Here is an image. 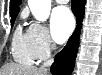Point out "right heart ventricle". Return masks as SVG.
I'll return each mask as SVG.
<instances>
[{
    "mask_svg": "<svg viewBox=\"0 0 102 75\" xmlns=\"http://www.w3.org/2000/svg\"><path fill=\"white\" fill-rule=\"evenodd\" d=\"M12 55L13 58L20 63L33 64L35 61L29 34L27 31H23L21 26L17 27L13 35Z\"/></svg>",
    "mask_w": 102,
    "mask_h": 75,
    "instance_id": "e07e8e85",
    "label": "right heart ventricle"
}]
</instances>
